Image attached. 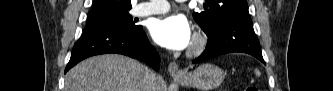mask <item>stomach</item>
Here are the masks:
<instances>
[{"label": "stomach", "mask_w": 333, "mask_h": 91, "mask_svg": "<svg viewBox=\"0 0 333 91\" xmlns=\"http://www.w3.org/2000/svg\"><path fill=\"white\" fill-rule=\"evenodd\" d=\"M225 78L224 71L213 64H203L176 80L186 87H194L201 91H212L221 85Z\"/></svg>", "instance_id": "0dacf381"}]
</instances>
